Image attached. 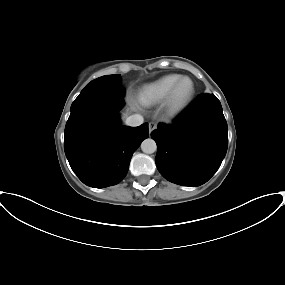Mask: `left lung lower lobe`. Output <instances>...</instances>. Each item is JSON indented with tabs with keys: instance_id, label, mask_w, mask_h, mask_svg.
Returning a JSON list of instances; mask_svg holds the SVG:
<instances>
[{
	"instance_id": "1",
	"label": "left lung lower lobe",
	"mask_w": 285,
	"mask_h": 285,
	"mask_svg": "<svg viewBox=\"0 0 285 285\" xmlns=\"http://www.w3.org/2000/svg\"><path fill=\"white\" fill-rule=\"evenodd\" d=\"M151 137L157 144L158 171L183 186L207 182L228 147L227 122L214 94L200 95L172 124H159Z\"/></svg>"
}]
</instances>
